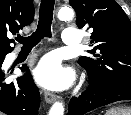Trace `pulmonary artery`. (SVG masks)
Masks as SVG:
<instances>
[{"label":"pulmonary artery","mask_w":131,"mask_h":115,"mask_svg":"<svg viewBox=\"0 0 131 115\" xmlns=\"http://www.w3.org/2000/svg\"><path fill=\"white\" fill-rule=\"evenodd\" d=\"M62 41L66 46H79L81 44V33L76 28H66L62 33Z\"/></svg>","instance_id":"obj_1"}]
</instances>
